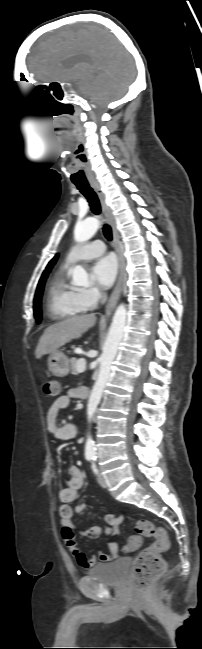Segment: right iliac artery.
I'll return each instance as SVG.
<instances>
[{
  "label": "right iliac artery",
  "instance_id": "obj_1",
  "mask_svg": "<svg viewBox=\"0 0 202 649\" xmlns=\"http://www.w3.org/2000/svg\"><path fill=\"white\" fill-rule=\"evenodd\" d=\"M91 459H93L92 456H87V460H91Z\"/></svg>",
  "mask_w": 202,
  "mask_h": 649
}]
</instances>
